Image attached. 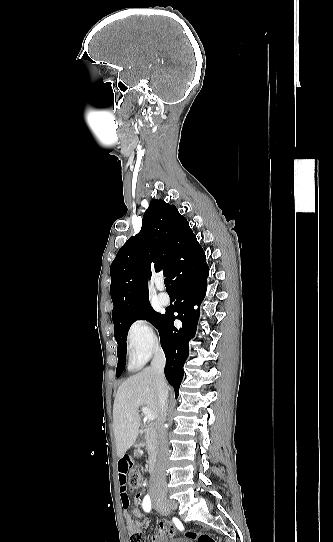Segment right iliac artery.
Here are the masks:
<instances>
[{
    "label": "right iliac artery",
    "mask_w": 333,
    "mask_h": 542,
    "mask_svg": "<svg viewBox=\"0 0 333 542\" xmlns=\"http://www.w3.org/2000/svg\"><path fill=\"white\" fill-rule=\"evenodd\" d=\"M143 509L146 511V512H149L150 509H151V501H150V497L147 495L145 496L144 500H143Z\"/></svg>",
    "instance_id": "obj_1"
}]
</instances>
